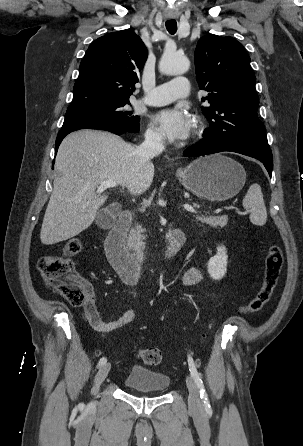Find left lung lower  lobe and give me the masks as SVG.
<instances>
[{"label":"left lung lower lobe","instance_id":"1","mask_svg":"<svg viewBox=\"0 0 303 446\" xmlns=\"http://www.w3.org/2000/svg\"><path fill=\"white\" fill-rule=\"evenodd\" d=\"M231 151L250 156L261 161L271 176L273 168L272 152L269 147L240 143V142H214L200 141L184 151L186 157H196L201 155L213 154L217 152Z\"/></svg>","mask_w":303,"mask_h":446}]
</instances>
